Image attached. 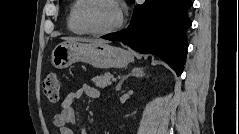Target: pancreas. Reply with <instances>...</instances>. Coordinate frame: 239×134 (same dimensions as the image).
<instances>
[{"label": "pancreas", "instance_id": "1", "mask_svg": "<svg viewBox=\"0 0 239 134\" xmlns=\"http://www.w3.org/2000/svg\"><path fill=\"white\" fill-rule=\"evenodd\" d=\"M112 78H113L112 74L105 73L103 75L94 77L92 79V81L98 88H105V87L111 85Z\"/></svg>", "mask_w": 239, "mask_h": 134}]
</instances>
